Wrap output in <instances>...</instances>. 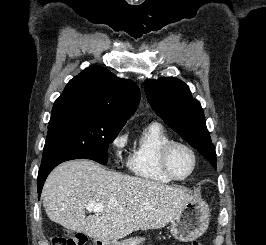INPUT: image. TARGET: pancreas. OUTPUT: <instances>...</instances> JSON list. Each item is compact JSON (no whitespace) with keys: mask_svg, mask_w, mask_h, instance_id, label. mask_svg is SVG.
<instances>
[{"mask_svg":"<svg viewBox=\"0 0 266 245\" xmlns=\"http://www.w3.org/2000/svg\"><path fill=\"white\" fill-rule=\"evenodd\" d=\"M146 241L145 237H131V239H126V241H121L118 245H142Z\"/></svg>","mask_w":266,"mask_h":245,"instance_id":"cf45deb5","label":"pancreas"}]
</instances>
